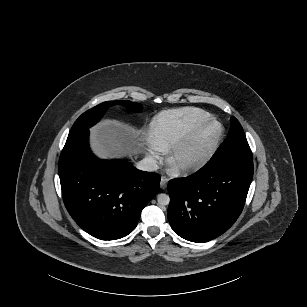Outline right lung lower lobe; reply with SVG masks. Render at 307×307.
I'll return each instance as SVG.
<instances>
[{
	"label": "right lung lower lobe",
	"mask_w": 307,
	"mask_h": 307,
	"mask_svg": "<svg viewBox=\"0 0 307 307\" xmlns=\"http://www.w3.org/2000/svg\"><path fill=\"white\" fill-rule=\"evenodd\" d=\"M89 129L67 138L58 172L64 204L75 222L101 240L131 233L157 194L160 176L124 160H101L89 148Z\"/></svg>",
	"instance_id": "obj_1"
}]
</instances>
